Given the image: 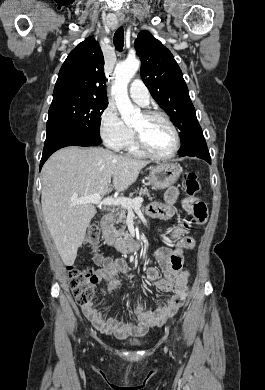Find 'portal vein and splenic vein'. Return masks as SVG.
<instances>
[{
	"label": "portal vein and splenic vein",
	"mask_w": 265,
	"mask_h": 390,
	"mask_svg": "<svg viewBox=\"0 0 265 390\" xmlns=\"http://www.w3.org/2000/svg\"><path fill=\"white\" fill-rule=\"evenodd\" d=\"M71 201L73 204H77V205L91 203V204H101L104 206H122L126 209H132L138 206L139 204H141L143 202V198L141 197H137L134 199H129L126 197L104 198V195L94 194L82 198H72Z\"/></svg>",
	"instance_id": "1"
}]
</instances>
